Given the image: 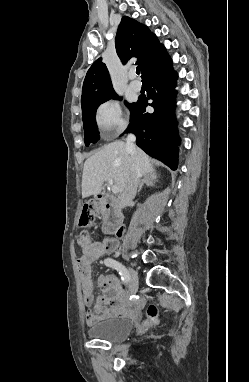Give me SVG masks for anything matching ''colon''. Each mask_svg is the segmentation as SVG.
<instances>
[{"instance_id":"obj_1","label":"colon","mask_w":249,"mask_h":382,"mask_svg":"<svg viewBox=\"0 0 249 382\" xmlns=\"http://www.w3.org/2000/svg\"><path fill=\"white\" fill-rule=\"evenodd\" d=\"M97 212V206L94 203H87L83 206L79 225L86 228L93 224ZM111 240V239H107ZM91 243L90 235L87 232H83L78 237V244L84 248ZM158 323V310L154 304H149L147 307V319L142 323L143 329H148L149 326L156 325Z\"/></svg>"}]
</instances>
